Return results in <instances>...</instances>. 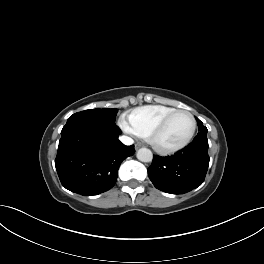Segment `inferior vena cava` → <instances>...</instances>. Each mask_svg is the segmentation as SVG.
<instances>
[{
    "label": "inferior vena cava",
    "mask_w": 264,
    "mask_h": 264,
    "mask_svg": "<svg viewBox=\"0 0 264 264\" xmlns=\"http://www.w3.org/2000/svg\"><path fill=\"white\" fill-rule=\"evenodd\" d=\"M119 140L124 144V145H132L134 143L133 139L128 137V136H120Z\"/></svg>",
    "instance_id": "inferior-vena-cava-1"
}]
</instances>
